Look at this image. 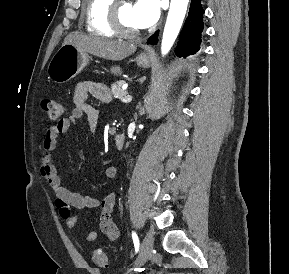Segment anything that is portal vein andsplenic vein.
<instances>
[{
    "label": "portal vein and splenic vein",
    "mask_w": 289,
    "mask_h": 274,
    "mask_svg": "<svg viewBox=\"0 0 289 274\" xmlns=\"http://www.w3.org/2000/svg\"><path fill=\"white\" fill-rule=\"evenodd\" d=\"M131 100H132V97H131L130 95H126V96H124V97L121 98V101H122L123 103H128V102H130Z\"/></svg>",
    "instance_id": "18ae733b"
}]
</instances>
